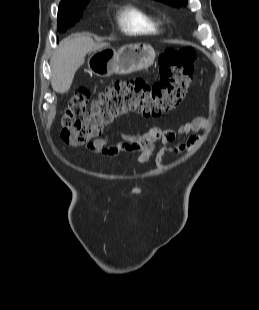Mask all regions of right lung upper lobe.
Instances as JSON below:
<instances>
[{"instance_id":"cb5924a9","label":"right lung upper lobe","mask_w":259,"mask_h":310,"mask_svg":"<svg viewBox=\"0 0 259 310\" xmlns=\"http://www.w3.org/2000/svg\"><path fill=\"white\" fill-rule=\"evenodd\" d=\"M83 1H86V0H62L59 5V9L72 8Z\"/></svg>"}]
</instances>
